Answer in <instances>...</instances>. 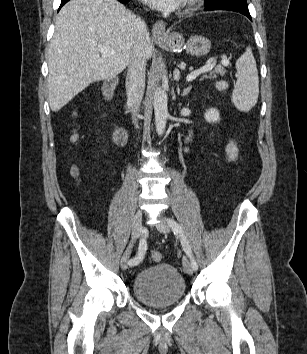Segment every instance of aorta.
<instances>
[{"instance_id": "1", "label": "aorta", "mask_w": 307, "mask_h": 354, "mask_svg": "<svg viewBox=\"0 0 307 354\" xmlns=\"http://www.w3.org/2000/svg\"><path fill=\"white\" fill-rule=\"evenodd\" d=\"M155 127L158 135H163L166 128L168 113V96L162 88H157L153 98Z\"/></svg>"}]
</instances>
